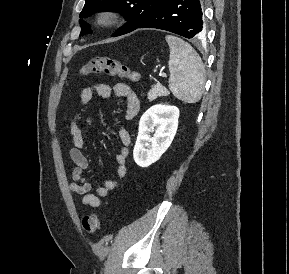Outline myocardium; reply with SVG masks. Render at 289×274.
Here are the masks:
<instances>
[{
  "mask_svg": "<svg viewBox=\"0 0 289 274\" xmlns=\"http://www.w3.org/2000/svg\"><path fill=\"white\" fill-rule=\"evenodd\" d=\"M120 19V13L112 8L98 10L94 15V22L102 28L114 26Z\"/></svg>",
  "mask_w": 289,
  "mask_h": 274,
  "instance_id": "myocardium-1",
  "label": "myocardium"
}]
</instances>
